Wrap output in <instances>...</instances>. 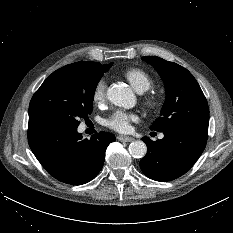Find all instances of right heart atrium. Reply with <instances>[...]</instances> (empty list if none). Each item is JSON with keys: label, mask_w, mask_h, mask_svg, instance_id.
<instances>
[{"label": "right heart atrium", "mask_w": 233, "mask_h": 233, "mask_svg": "<svg viewBox=\"0 0 233 233\" xmlns=\"http://www.w3.org/2000/svg\"><path fill=\"white\" fill-rule=\"evenodd\" d=\"M106 82L104 80H99L93 89V100L95 103H102L106 97Z\"/></svg>", "instance_id": "d8ad5b80"}]
</instances>
